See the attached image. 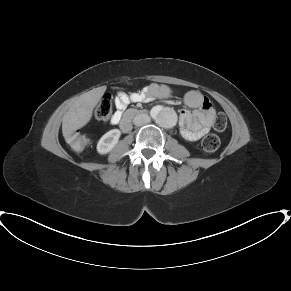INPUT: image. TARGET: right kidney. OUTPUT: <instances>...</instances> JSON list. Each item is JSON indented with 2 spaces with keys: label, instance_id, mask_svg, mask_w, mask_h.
Returning a JSON list of instances; mask_svg holds the SVG:
<instances>
[{
  "label": "right kidney",
  "instance_id": "1",
  "mask_svg": "<svg viewBox=\"0 0 291 291\" xmlns=\"http://www.w3.org/2000/svg\"><path fill=\"white\" fill-rule=\"evenodd\" d=\"M121 131L118 129H113L105 133L97 144V151L100 154H107L110 152L115 145L118 143Z\"/></svg>",
  "mask_w": 291,
  "mask_h": 291
}]
</instances>
